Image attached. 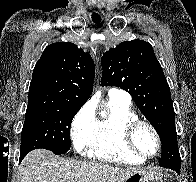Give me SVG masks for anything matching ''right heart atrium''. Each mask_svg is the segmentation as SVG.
Returning <instances> with one entry per match:
<instances>
[{"label": "right heart atrium", "instance_id": "obj_1", "mask_svg": "<svg viewBox=\"0 0 196 182\" xmlns=\"http://www.w3.org/2000/svg\"><path fill=\"white\" fill-rule=\"evenodd\" d=\"M95 125L94 107L86 104L77 112L71 123V137L78 152L82 153L89 147Z\"/></svg>", "mask_w": 196, "mask_h": 182}]
</instances>
